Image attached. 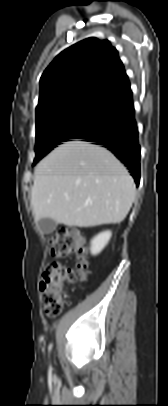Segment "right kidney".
<instances>
[{"mask_svg":"<svg viewBox=\"0 0 168 406\" xmlns=\"http://www.w3.org/2000/svg\"><path fill=\"white\" fill-rule=\"evenodd\" d=\"M111 231H104L95 236L91 241V253L96 255L100 253L104 247L108 244L111 238Z\"/></svg>","mask_w":168,"mask_h":406,"instance_id":"ca27d5eb","label":"right kidney"}]
</instances>
